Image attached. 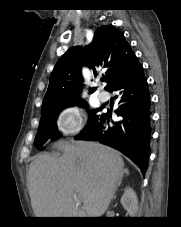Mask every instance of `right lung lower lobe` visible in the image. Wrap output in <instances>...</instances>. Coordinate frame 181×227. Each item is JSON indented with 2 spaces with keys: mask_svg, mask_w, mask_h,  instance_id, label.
<instances>
[{
  "mask_svg": "<svg viewBox=\"0 0 181 227\" xmlns=\"http://www.w3.org/2000/svg\"><path fill=\"white\" fill-rule=\"evenodd\" d=\"M108 91H118L120 94L116 114L121 120L112 127L105 126L103 123L106 117L111 115L108 111L101 116L100 121L88 126L75 138L99 141L121 151L133 160L144 174L150 155V94L143 67L135 55L128 59Z\"/></svg>",
  "mask_w": 181,
  "mask_h": 227,
  "instance_id": "1",
  "label": "right lung lower lobe"
}]
</instances>
